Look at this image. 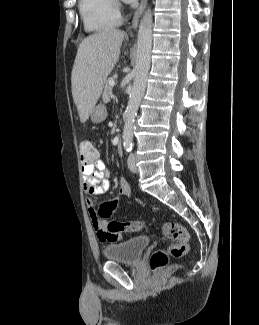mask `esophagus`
<instances>
[{
    "label": "esophagus",
    "mask_w": 259,
    "mask_h": 325,
    "mask_svg": "<svg viewBox=\"0 0 259 325\" xmlns=\"http://www.w3.org/2000/svg\"><path fill=\"white\" fill-rule=\"evenodd\" d=\"M146 4H147V0H141L139 7L137 8V10L134 13L130 29L137 28L139 20L145 10Z\"/></svg>",
    "instance_id": "obj_1"
}]
</instances>
